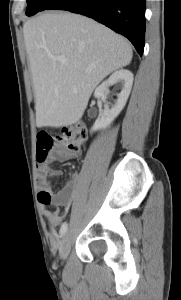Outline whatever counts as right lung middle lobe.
I'll use <instances>...</instances> for the list:
<instances>
[{
	"instance_id": "right-lung-middle-lobe-1",
	"label": "right lung middle lobe",
	"mask_w": 181,
	"mask_h": 300,
	"mask_svg": "<svg viewBox=\"0 0 181 300\" xmlns=\"http://www.w3.org/2000/svg\"><path fill=\"white\" fill-rule=\"evenodd\" d=\"M57 0H27L26 15L32 16L37 12L48 9Z\"/></svg>"
}]
</instances>
